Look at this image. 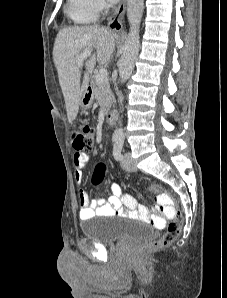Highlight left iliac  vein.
<instances>
[{
    "instance_id": "1",
    "label": "left iliac vein",
    "mask_w": 227,
    "mask_h": 298,
    "mask_svg": "<svg viewBox=\"0 0 227 298\" xmlns=\"http://www.w3.org/2000/svg\"><path fill=\"white\" fill-rule=\"evenodd\" d=\"M121 166L123 169H125L127 171H135L136 170V167L132 162L131 154L129 152H126L124 154V157L121 161Z\"/></svg>"
}]
</instances>
